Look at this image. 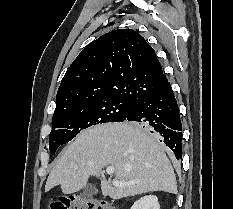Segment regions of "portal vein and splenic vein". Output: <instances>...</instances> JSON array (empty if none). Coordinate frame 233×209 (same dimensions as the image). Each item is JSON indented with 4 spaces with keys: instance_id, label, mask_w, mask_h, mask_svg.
<instances>
[{
    "instance_id": "portal-vein-and-splenic-vein-1",
    "label": "portal vein and splenic vein",
    "mask_w": 233,
    "mask_h": 209,
    "mask_svg": "<svg viewBox=\"0 0 233 209\" xmlns=\"http://www.w3.org/2000/svg\"><path fill=\"white\" fill-rule=\"evenodd\" d=\"M106 173H107L108 175H112V174L114 173V168L111 167V166L107 167V168H106ZM112 183H113L114 186H122V185H124L123 182H120V181H118V180H113Z\"/></svg>"
}]
</instances>
